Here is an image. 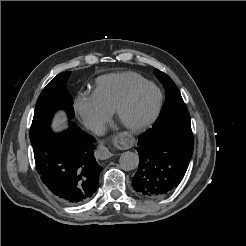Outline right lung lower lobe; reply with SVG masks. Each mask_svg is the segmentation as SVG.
Listing matches in <instances>:
<instances>
[{
    "label": "right lung lower lobe",
    "instance_id": "obj_1",
    "mask_svg": "<svg viewBox=\"0 0 246 246\" xmlns=\"http://www.w3.org/2000/svg\"><path fill=\"white\" fill-rule=\"evenodd\" d=\"M94 138L70 121L69 128H50L31 140L42 182L62 202L77 205L96 192L102 167L94 157Z\"/></svg>",
    "mask_w": 246,
    "mask_h": 246
}]
</instances>
